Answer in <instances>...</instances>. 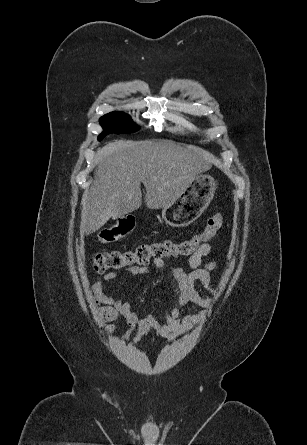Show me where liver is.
I'll return each mask as SVG.
<instances>
[{
  "label": "liver",
  "instance_id": "obj_1",
  "mask_svg": "<svg viewBox=\"0 0 307 445\" xmlns=\"http://www.w3.org/2000/svg\"><path fill=\"white\" fill-rule=\"evenodd\" d=\"M99 154L95 180L82 208L84 235L99 231L109 218L137 210L142 204L141 182L148 208L169 206L213 160L207 150L186 148L174 140H116L100 148Z\"/></svg>",
  "mask_w": 307,
  "mask_h": 445
}]
</instances>
